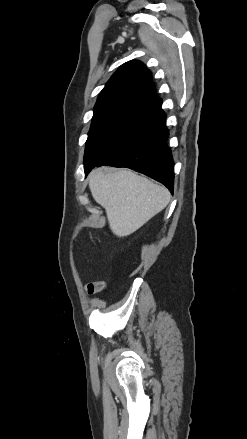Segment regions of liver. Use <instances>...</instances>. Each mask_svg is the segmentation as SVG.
Here are the masks:
<instances>
[{"label": "liver", "mask_w": 247, "mask_h": 439, "mask_svg": "<svg viewBox=\"0 0 247 439\" xmlns=\"http://www.w3.org/2000/svg\"><path fill=\"white\" fill-rule=\"evenodd\" d=\"M89 188L94 200L106 211L114 235L127 236L169 203V191L147 177L122 169H94L89 175Z\"/></svg>", "instance_id": "liver-1"}]
</instances>
